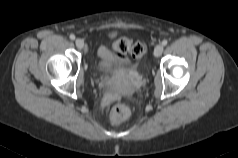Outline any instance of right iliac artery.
Listing matches in <instances>:
<instances>
[{
  "mask_svg": "<svg viewBox=\"0 0 238 158\" xmlns=\"http://www.w3.org/2000/svg\"><path fill=\"white\" fill-rule=\"evenodd\" d=\"M70 39H71V40H74V39H75V35H74V34H71V35H70Z\"/></svg>",
  "mask_w": 238,
  "mask_h": 158,
  "instance_id": "82829eb1",
  "label": "right iliac artery"
}]
</instances>
